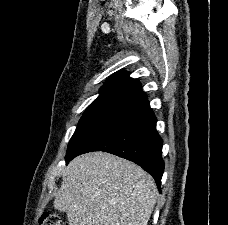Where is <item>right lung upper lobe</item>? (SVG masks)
<instances>
[{
    "label": "right lung upper lobe",
    "mask_w": 228,
    "mask_h": 225,
    "mask_svg": "<svg viewBox=\"0 0 228 225\" xmlns=\"http://www.w3.org/2000/svg\"><path fill=\"white\" fill-rule=\"evenodd\" d=\"M114 84H120L125 85L132 88H137L141 90V84L136 81L135 79H132L129 77V73L125 71H120L112 76L105 82L106 85H114Z\"/></svg>",
    "instance_id": "obj_1"
}]
</instances>
